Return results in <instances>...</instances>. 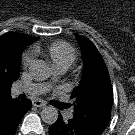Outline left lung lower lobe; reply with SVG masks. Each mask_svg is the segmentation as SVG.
<instances>
[{
    "mask_svg": "<svg viewBox=\"0 0 135 135\" xmlns=\"http://www.w3.org/2000/svg\"><path fill=\"white\" fill-rule=\"evenodd\" d=\"M105 127L88 122L83 118L73 117L68 121L59 114L57 121L50 126V135H100Z\"/></svg>",
    "mask_w": 135,
    "mask_h": 135,
    "instance_id": "obj_1",
    "label": "left lung lower lobe"
}]
</instances>
